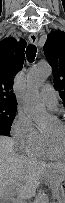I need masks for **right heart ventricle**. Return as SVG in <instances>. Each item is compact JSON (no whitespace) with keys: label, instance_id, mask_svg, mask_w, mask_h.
Listing matches in <instances>:
<instances>
[{"label":"right heart ventricle","instance_id":"right-heart-ventricle-1","mask_svg":"<svg viewBox=\"0 0 65 203\" xmlns=\"http://www.w3.org/2000/svg\"><path fill=\"white\" fill-rule=\"evenodd\" d=\"M28 155L33 158L39 159H47V160H55L61 158V156H57L52 153L48 141L44 135H41V139L38 144L28 151Z\"/></svg>","mask_w":65,"mask_h":203}]
</instances>
